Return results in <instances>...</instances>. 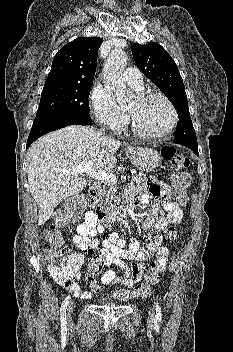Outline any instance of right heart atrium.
<instances>
[{
	"label": "right heart atrium",
	"instance_id": "d8ad5b80",
	"mask_svg": "<svg viewBox=\"0 0 233 352\" xmlns=\"http://www.w3.org/2000/svg\"><path fill=\"white\" fill-rule=\"evenodd\" d=\"M91 101L98 123L113 131H120L125 126L126 115L107 92L95 89L92 92Z\"/></svg>",
	"mask_w": 233,
	"mask_h": 352
}]
</instances>
